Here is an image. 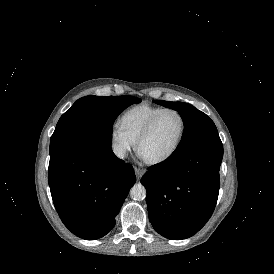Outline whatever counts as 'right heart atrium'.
Instances as JSON below:
<instances>
[{"label":"right heart atrium","mask_w":274,"mask_h":274,"mask_svg":"<svg viewBox=\"0 0 274 274\" xmlns=\"http://www.w3.org/2000/svg\"><path fill=\"white\" fill-rule=\"evenodd\" d=\"M109 143L114 154L120 159H125L135 147V141L116 124L110 127Z\"/></svg>","instance_id":"right-heart-atrium-1"}]
</instances>
